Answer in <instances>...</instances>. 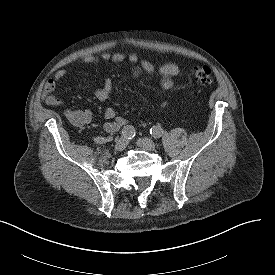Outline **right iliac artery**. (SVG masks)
<instances>
[{"instance_id":"1","label":"right iliac artery","mask_w":275,"mask_h":275,"mask_svg":"<svg viewBox=\"0 0 275 275\" xmlns=\"http://www.w3.org/2000/svg\"><path fill=\"white\" fill-rule=\"evenodd\" d=\"M122 135L127 139H132L135 136V129L131 125H127L122 129ZM111 137H97L95 138V142L99 144H105L107 142H111Z\"/></svg>"}]
</instances>
